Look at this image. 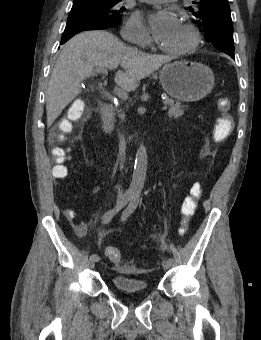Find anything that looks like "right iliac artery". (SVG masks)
<instances>
[{
    "label": "right iliac artery",
    "instance_id": "right-iliac-artery-1",
    "mask_svg": "<svg viewBox=\"0 0 261 340\" xmlns=\"http://www.w3.org/2000/svg\"><path fill=\"white\" fill-rule=\"evenodd\" d=\"M132 196L133 195L131 193H125L115 207L104 213L102 217V223L108 224L112 220V218L127 205V203L131 200ZM90 259H92L94 262H98L100 260L97 254H92L90 256Z\"/></svg>",
    "mask_w": 261,
    "mask_h": 340
}]
</instances>
